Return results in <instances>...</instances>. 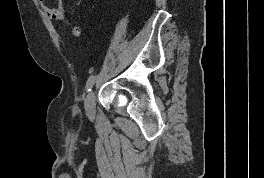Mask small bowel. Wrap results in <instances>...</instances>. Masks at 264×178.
Here are the masks:
<instances>
[{
	"instance_id": "c3829d8e",
	"label": "small bowel",
	"mask_w": 264,
	"mask_h": 178,
	"mask_svg": "<svg viewBox=\"0 0 264 178\" xmlns=\"http://www.w3.org/2000/svg\"><path fill=\"white\" fill-rule=\"evenodd\" d=\"M45 14L53 20L67 23L66 13L63 7L64 0H58L56 7L50 6L48 0H38ZM72 34L76 37L82 34V28L79 25L72 26Z\"/></svg>"
}]
</instances>
